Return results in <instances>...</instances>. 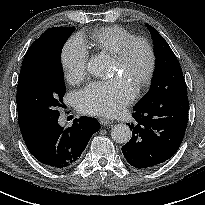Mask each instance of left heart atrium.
<instances>
[{
    "instance_id": "39dd6f15",
    "label": "left heart atrium",
    "mask_w": 205,
    "mask_h": 205,
    "mask_svg": "<svg viewBox=\"0 0 205 205\" xmlns=\"http://www.w3.org/2000/svg\"><path fill=\"white\" fill-rule=\"evenodd\" d=\"M137 95L135 84L125 76L95 81L78 92L76 105L89 115L117 116Z\"/></svg>"
}]
</instances>
